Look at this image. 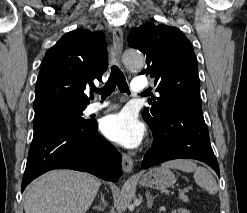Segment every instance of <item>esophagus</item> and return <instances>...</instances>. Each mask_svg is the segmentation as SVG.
<instances>
[{"label": "esophagus", "mask_w": 247, "mask_h": 213, "mask_svg": "<svg viewBox=\"0 0 247 213\" xmlns=\"http://www.w3.org/2000/svg\"><path fill=\"white\" fill-rule=\"evenodd\" d=\"M113 43L115 47L116 63L118 66H121L120 57L123 49V32L118 27L113 29ZM122 168L125 173H131L133 169V160L125 153L122 154Z\"/></svg>", "instance_id": "34e87169"}]
</instances>
